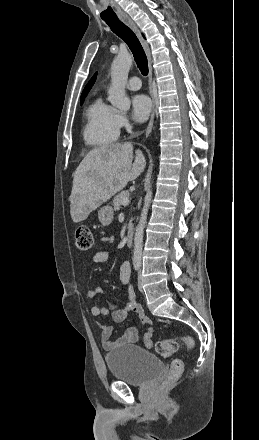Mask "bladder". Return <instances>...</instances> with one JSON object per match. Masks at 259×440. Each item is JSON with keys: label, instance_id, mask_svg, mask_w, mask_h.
<instances>
[{"label": "bladder", "instance_id": "bladder-1", "mask_svg": "<svg viewBox=\"0 0 259 440\" xmlns=\"http://www.w3.org/2000/svg\"><path fill=\"white\" fill-rule=\"evenodd\" d=\"M105 359L114 379L136 386L157 378L165 367L160 358L131 344L113 349Z\"/></svg>", "mask_w": 259, "mask_h": 440}]
</instances>
